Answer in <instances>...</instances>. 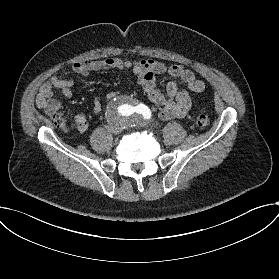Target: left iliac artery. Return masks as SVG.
Wrapping results in <instances>:
<instances>
[{
    "label": "left iliac artery",
    "mask_w": 279,
    "mask_h": 279,
    "mask_svg": "<svg viewBox=\"0 0 279 279\" xmlns=\"http://www.w3.org/2000/svg\"><path fill=\"white\" fill-rule=\"evenodd\" d=\"M142 114H143L144 118H146V119H150V117H151V111H150V109H149L147 106H145V105H143Z\"/></svg>",
    "instance_id": "left-iliac-artery-1"
}]
</instances>
